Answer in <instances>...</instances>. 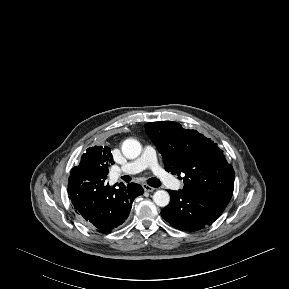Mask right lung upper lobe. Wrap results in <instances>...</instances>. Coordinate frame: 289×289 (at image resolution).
<instances>
[{
	"label": "right lung upper lobe",
	"instance_id": "obj_1",
	"mask_svg": "<svg viewBox=\"0 0 289 289\" xmlns=\"http://www.w3.org/2000/svg\"><path fill=\"white\" fill-rule=\"evenodd\" d=\"M110 164H114L111 149L107 146H94L87 149L82 155L80 165L74 167L98 177H104Z\"/></svg>",
	"mask_w": 289,
	"mask_h": 289
}]
</instances>
